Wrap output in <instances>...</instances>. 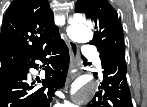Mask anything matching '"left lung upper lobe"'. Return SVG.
<instances>
[{
    "label": "left lung upper lobe",
    "instance_id": "1",
    "mask_svg": "<svg viewBox=\"0 0 147 107\" xmlns=\"http://www.w3.org/2000/svg\"><path fill=\"white\" fill-rule=\"evenodd\" d=\"M75 12L84 13L94 21L97 30L90 44L95 45L100 53L125 49L120 19L107 0H78Z\"/></svg>",
    "mask_w": 147,
    "mask_h": 107
}]
</instances>
